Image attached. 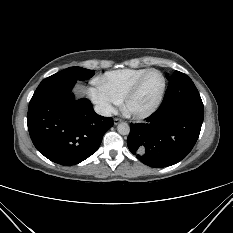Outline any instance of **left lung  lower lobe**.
I'll list each match as a JSON object with an SVG mask.
<instances>
[{"mask_svg":"<svg viewBox=\"0 0 233 233\" xmlns=\"http://www.w3.org/2000/svg\"><path fill=\"white\" fill-rule=\"evenodd\" d=\"M203 103L192 80L175 71L158 110L144 123H131L129 150L144 164L167 167L192 150L203 123Z\"/></svg>","mask_w":233,"mask_h":233,"instance_id":"left-lung-lower-lobe-1","label":"left lung lower lobe"}]
</instances>
